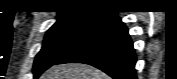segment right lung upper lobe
Listing matches in <instances>:
<instances>
[{"label":"right lung upper lobe","instance_id":"1","mask_svg":"<svg viewBox=\"0 0 177 79\" xmlns=\"http://www.w3.org/2000/svg\"><path fill=\"white\" fill-rule=\"evenodd\" d=\"M112 13L102 9L97 1H80L71 3L65 10L58 12L57 22L84 19L89 17H104ZM56 22V23H57Z\"/></svg>","mask_w":177,"mask_h":79}]
</instances>
